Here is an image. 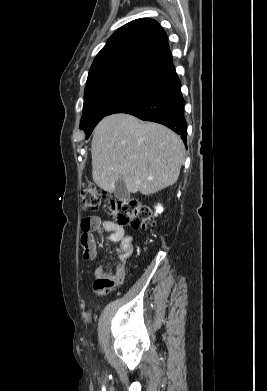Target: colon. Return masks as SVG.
<instances>
[{"label": "colon", "mask_w": 267, "mask_h": 391, "mask_svg": "<svg viewBox=\"0 0 267 391\" xmlns=\"http://www.w3.org/2000/svg\"><path fill=\"white\" fill-rule=\"evenodd\" d=\"M105 193L94 185H88L81 191V206L85 211L98 210L104 202ZM113 221L120 225H130L136 230L145 231L152 223V215L148 206L138 199H117L107 204Z\"/></svg>", "instance_id": "1"}]
</instances>
